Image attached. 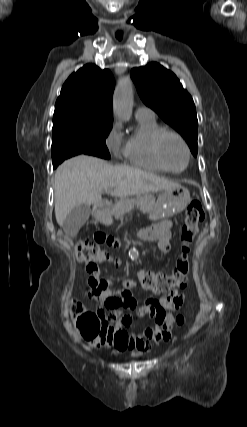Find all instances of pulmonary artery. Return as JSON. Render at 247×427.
<instances>
[{
	"instance_id": "pulmonary-artery-1",
	"label": "pulmonary artery",
	"mask_w": 247,
	"mask_h": 427,
	"mask_svg": "<svg viewBox=\"0 0 247 427\" xmlns=\"http://www.w3.org/2000/svg\"><path fill=\"white\" fill-rule=\"evenodd\" d=\"M154 116V112L146 106H140L136 110V117Z\"/></svg>"
}]
</instances>
